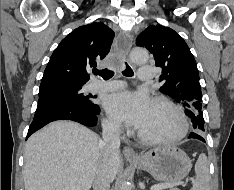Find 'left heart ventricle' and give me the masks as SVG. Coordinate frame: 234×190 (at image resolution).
<instances>
[{
    "label": "left heart ventricle",
    "instance_id": "left-heart-ventricle-1",
    "mask_svg": "<svg viewBox=\"0 0 234 190\" xmlns=\"http://www.w3.org/2000/svg\"><path fill=\"white\" fill-rule=\"evenodd\" d=\"M178 128L179 122L172 110L162 104L152 103L150 113L139 131L146 135L158 136L172 134Z\"/></svg>",
    "mask_w": 234,
    "mask_h": 190
}]
</instances>
